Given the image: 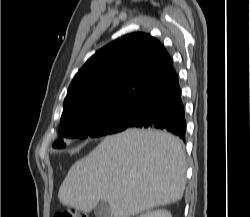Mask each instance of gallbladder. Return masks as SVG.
Wrapping results in <instances>:
<instances>
[{
    "label": "gallbladder",
    "instance_id": "gallbladder-1",
    "mask_svg": "<svg viewBox=\"0 0 250 217\" xmlns=\"http://www.w3.org/2000/svg\"><path fill=\"white\" fill-rule=\"evenodd\" d=\"M94 213L96 217H113L111 208L108 203L106 202H101L99 203L95 209Z\"/></svg>",
    "mask_w": 250,
    "mask_h": 217
}]
</instances>
